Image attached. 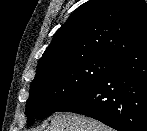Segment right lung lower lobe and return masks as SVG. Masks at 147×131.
<instances>
[{
    "label": "right lung lower lobe",
    "instance_id": "right-lung-lower-lobe-1",
    "mask_svg": "<svg viewBox=\"0 0 147 131\" xmlns=\"http://www.w3.org/2000/svg\"><path fill=\"white\" fill-rule=\"evenodd\" d=\"M59 112L92 117L117 131H147V43Z\"/></svg>",
    "mask_w": 147,
    "mask_h": 131
}]
</instances>
